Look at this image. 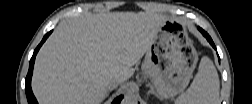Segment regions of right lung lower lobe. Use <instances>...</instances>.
Wrapping results in <instances>:
<instances>
[{
	"label": "right lung lower lobe",
	"mask_w": 252,
	"mask_h": 104,
	"mask_svg": "<svg viewBox=\"0 0 252 104\" xmlns=\"http://www.w3.org/2000/svg\"><path fill=\"white\" fill-rule=\"evenodd\" d=\"M52 33V31L48 32L43 40L41 41V43L38 45V47L35 49L33 56L30 60V65H29V71L28 74L26 76L25 79V91H26V96H27V100L29 104H37V100L33 95L32 89H31V78H32V73H33V66H34V62H35V57L36 54L38 52V50L40 49V47L42 46V44L45 42V40L47 39V37ZM123 96H119L117 97L112 104H119L122 100Z\"/></svg>",
	"instance_id": "1"
}]
</instances>
